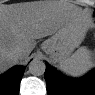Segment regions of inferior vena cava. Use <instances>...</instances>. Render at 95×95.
Returning a JSON list of instances; mask_svg holds the SVG:
<instances>
[{
	"instance_id": "inferior-vena-cava-1",
	"label": "inferior vena cava",
	"mask_w": 95,
	"mask_h": 95,
	"mask_svg": "<svg viewBox=\"0 0 95 95\" xmlns=\"http://www.w3.org/2000/svg\"><path fill=\"white\" fill-rule=\"evenodd\" d=\"M13 54H14L17 58H19L20 55H21V49H20V48H16V49L13 51Z\"/></svg>"
}]
</instances>
